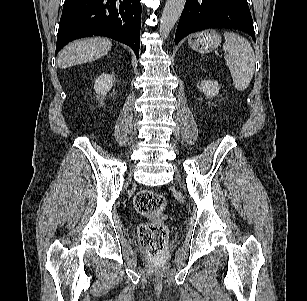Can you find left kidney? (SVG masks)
<instances>
[{
	"label": "left kidney",
	"instance_id": "obj_1",
	"mask_svg": "<svg viewBox=\"0 0 307 301\" xmlns=\"http://www.w3.org/2000/svg\"><path fill=\"white\" fill-rule=\"evenodd\" d=\"M199 88L208 97H214L218 95L220 87L216 81L204 80L200 83Z\"/></svg>",
	"mask_w": 307,
	"mask_h": 301
}]
</instances>
